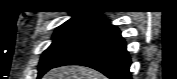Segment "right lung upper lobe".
Wrapping results in <instances>:
<instances>
[{"label":"right lung upper lobe","instance_id":"cb5924a9","mask_svg":"<svg viewBox=\"0 0 177 79\" xmlns=\"http://www.w3.org/2000/svg\"><path fill=\"white\" fill-rule=\"evenodd\" d=\"M72 14V18L68 21H75V20H83V19H90V18H104L103 15H100L101 12H93V11H73L70 12Z\"/></svg>","mask_w":177,"mask_h":79}]
</instances>
